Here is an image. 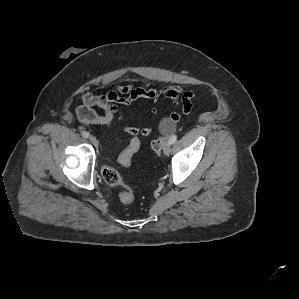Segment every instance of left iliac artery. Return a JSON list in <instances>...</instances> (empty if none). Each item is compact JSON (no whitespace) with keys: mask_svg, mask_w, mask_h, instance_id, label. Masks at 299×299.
I'll return each instance as SVG.
<instances>
[{"mask_svg":"<svg viewBox=\"0 0 299 299\" xmlns=\"http://www.w3.org/2000/svg\"><path fill=\"white\" fill-rule=\"evenodd\" d=\"M176 140H177V136H176V135H172V136L170 137V139H169V143H170V144H173V143H175Z\"/></svg>","mask_w":299,"mask_h":299,"instance_id":"left-iliac-artery-1","label":"left iliac artery"}]
</instances>
